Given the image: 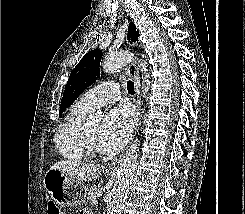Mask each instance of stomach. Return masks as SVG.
<instances>
[{"label":"stomach","instance_id":"0dacf381","mask_svg":"<svg viewBox=\"0 0 245 214\" xmlns=\"http://www.w3.org/2000/svg\"><path fill=\"white\" fill-rule=\"evenodd\" d=\"M43 184L51 199L59 207H75L85 202L87 194L85 184L56 169H49L46 172Z\"/></svg>","mask_w":245,"mask_h":214}]
</instances>
